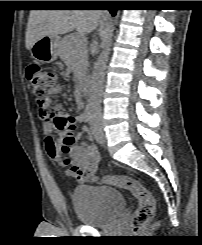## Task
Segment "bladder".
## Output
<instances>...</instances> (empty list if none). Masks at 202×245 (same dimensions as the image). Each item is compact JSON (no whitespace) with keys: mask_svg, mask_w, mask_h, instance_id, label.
Listing matches in <instances>:
<instances>
[{"mask_svg":"<svg viewBox=\"0 0 202 245\" xmlns=\"http://www.w3.org/2000/svg\"><path fill=\"white\" fill-rule=\"evenodd\" d=\"M72 204L79 222L101 227L109 224L124 208V197L116 189L93 184L74 189Z\"/></svg>","mask_w":202,"mask_h":245,"instance_id":"1","label":"bladder"}]
</instances>
